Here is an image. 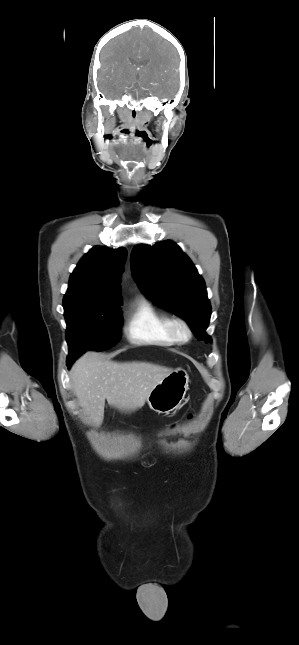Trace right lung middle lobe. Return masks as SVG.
Returning a JSON list of instances; mask_svg holds the SVG:
<instances>
[{
    "label": "right lung middle lobe",
    "instance_id": "obj_1",
    "mask_svg": "<svg viewBox=\"0 0 299 645\" xmlns=\"http://www.w3.org/2000/svg\"><path fill=\"white\" fill-rule=\"evenodd\" d=\"M69 347L67 365L89 349L106 350L120 338L121 313L119 304H64Z\"/></svg>",
    "mask_w": 299,
    "mask_h": 645
}]
</instances>
